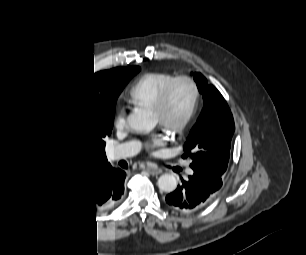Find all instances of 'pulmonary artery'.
Segmentation results:
<instances>
[{"mask_svg":"<svg viewBox=\"0 0 306 255\" xmlns=\"http://www.w3.org/2000/svg\"><path fill=\"white\" fill-rule=\"evenodd\" d=\"M133 152V148L130 146H122L120 148H117L113 151V158H124L126 156H129ZM189 173H192L190 170Z\"/></svg>","mask_w":306,"mask_h":255,"instance_id":"obj_1","label":"pulmonary artery"}]
</instances>
